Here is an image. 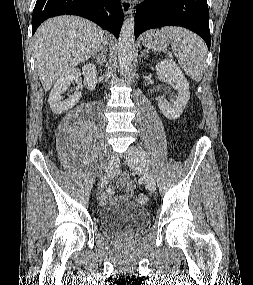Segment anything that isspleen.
Instances as JSON below:
<instances>
[{
  "mask_svg": "<svg viewBox=\"0 0 253 285\" xmlns=\"http://www.w3.org/2000/svg\"><path fill=\"white\" fill-rule=\"evenodd\" d=\"M162 32L171 40L172 50L178 53V63L191 79L199 82L206 65L207 49L196 34L181 27H164Z\"/></svg>",
  "mask_w": 253,
  "mask_h": 285,
  "instance_id": "1",
  "label": "spleen"
}]
</instances>
